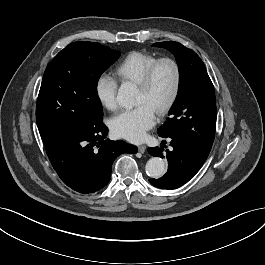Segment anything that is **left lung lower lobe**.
<instances>
[{"label": "left lung lower lobe", "mask_w": 265, "mask_h": 265, "mask_svg": "<svg viewBox=\"0 0 265 265\" xmlns=\"http://www.w3.org/2000/svg\"><path fill=\"white\" fill-rule=\"evenodd\" d=\"M172 150H166L168 160V171L159 179H149L150 183L157 188L176 189L188 182L202 167L207 157L198 153L191 144L170 139ZM162 147L148 148V152L153 156L164 158Z\"/></svg>", "instance_id": "0a47b994"}]
</instances>
